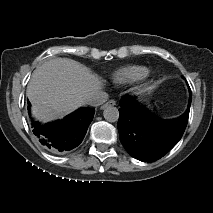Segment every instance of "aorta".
<instances>
[{
    "mask_svg": "<svg viewBox=\"0 0 213 213\" xmlns=\"http://www.w3.org/2000/svg\"><path fill=\"white\" fill-rule=\"evenodd\" d=\"M104 119L108 122L114 123L119 119V111L117 107L108 105L103 111Z\"/></svg>",
    "mask_w": 213,
    "mask_h": 213,
    "instance_id": "762f6f07",
    "label": "aorta"
}]
</instances>
